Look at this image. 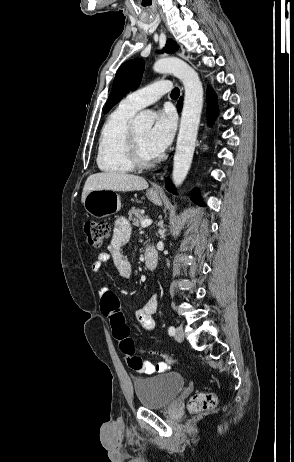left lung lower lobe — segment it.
Wrapping results in <instances>:
<instances>
[{
    "instance_id": "1",
    "label": "left lung lower lobe",
    "mask_w": 294,
    "mask_h": 462,
    "mask_svg": "<svg viewBox=\"0 0 294 462\" xmlns=\"http://www.w3.org/2000/svg\"><path fill=\"white\" fill-rule=\"evenodd\" d=\"M207 100H208V107H207V114L210 120H212L215 116V111H216V96L212 89H208L207 91ZM182 107V98L178 102V109L181 110ZM166 188L168 191L174 193L175 189L173 185L170 183L169 179L166 181ZM192 199L197 202L200 206H203L204 204L200 202L198 193L195 191Z\"/></svg>"
}]
</instances>
